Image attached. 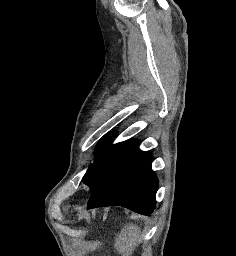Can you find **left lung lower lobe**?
Masks as SVG:
<instances>
[{"instance_id": "obj_1", "label": "left lung lower lobe", "mask_w": 236, "mask_h": 256, "mask_svg": "<svg viewBox=\"0 0 236 256\" xmlns=\"http://www.w3.org/2000/svg\"><path fill=\"white\" fill-rule=\"evenodd\" d=\"M152 159L150 152L141 151L137 140H132L110 174L93 190L87 209L120 205L150 215L155 209L158 189Z\"/></svg>"}]
</instances>
